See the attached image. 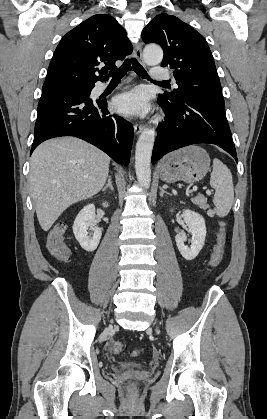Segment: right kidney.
I'll use <instances>...</instances> for the list:
<instances>
[{
    "label": "right kidney",
    "mask_w": 267,
    "mask_h": 419,
    "mask_svg": "<svg viewBox=\"0 0 267 419\" xmlns=\"http://www.w3.org/2000/svg\"><path fill=\"white\" fill-rule=\"evenodd\" d=\"M102 206L107 208L108 202H103ZM95 222V206L94 204L86 205L76 216L73 224V233L79 242L80 246L88 251H94L101 239L102 230L99 227H94ZM92 230V236H88L87 230Z\"/></svg>",
    "instance_id": "1"
}]
</instances>
